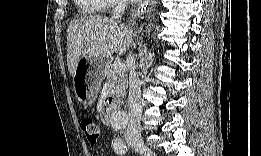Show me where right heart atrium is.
<instances>
[{
  "label": "right heart atrium",
  "instance_id": "d8ad5b80",
  "mask_svg": "<svg viewBox=\"0 0 261 156\" xmlns=\"http://www.w3.org/2000/svg\"><path fill=\"white\" fill-rule=\"evenodd\" d=\"M98 4L96 5L95 9L100 11L112 10L113 8L119 6L118 1L114 0H97Z\"/></svg>",
  "mask_w": 261,
  "mask_h": 156
}]
</instances>
